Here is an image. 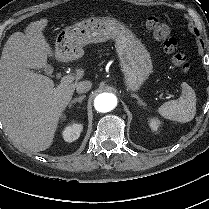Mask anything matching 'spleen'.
<instances>
[{
    "instance_id": "3e777b00",
    "label": "spleen",
    "mask_w": 209,
    "mask_h": 209,
    "mask_svg": "<svg viewBox=\"0 0 209 209\" xmlns=\"http://www.w3.org/2000/svg\"><path fill=\"white\" fill-rule=\"evenodd\" d=\"M182 92L177 100H171L158 108V113L169 120L186 123L191 121L196 113V95L186 83L181 84Z\"/></svg>"
}]
</instances>
